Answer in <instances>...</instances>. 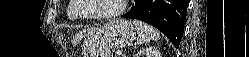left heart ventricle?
Here are the masks:
<instances>
[{"mask_svg":"<svg viewBox=\"0 0 249 57\" xmlns=\"http://www.w3.org/2000/svg\"><path fill=\"white\" fill-rule=\"evenodd\" d=\"M83 12L86 14H104L117 10L121 0H84Z\"/></svg>","mask_w":249,"mask_h":57,"instance_id":"1","label":"left heart ventricle"}]
</instances>
